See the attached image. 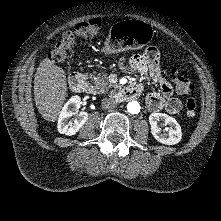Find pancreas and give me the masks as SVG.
Listing matches in <instances>:
<instances>
[{"instance_id": "pancreas-1", "label": "pancreas", "mask_w": 221, "mask_h": 221, "mask_svg": "<svg viewBox=\"0 0 221 221\" xmlns=\"http://www.w3.org/2000/svg\"><path fill=\"white\" fill-rule=\"evenodd\" d=\"M89 78L94 81L93 89L98 93H104L113 87L112 83H109L107 75L105 73L98 74L97 76L90 74Z\"/></svg>"}]
</instances>
